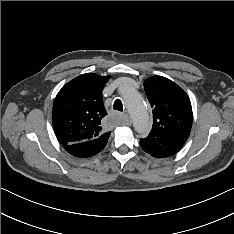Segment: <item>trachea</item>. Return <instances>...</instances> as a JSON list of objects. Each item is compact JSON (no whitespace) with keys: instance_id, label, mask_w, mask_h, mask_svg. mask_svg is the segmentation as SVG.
<instances>
[{"instance_id":"3493384b","label":"trachea","mask_w":234,"mask_h":234,"mask_svg":"<svg viewBox=\"0 0 234 234\" xmlns=\"http://www.w3.org/2000/svg\"><path fill=\"white\" fill-rule=\"evenodd\" d=\"M113 109L118 110V111H123V105L119 99L115 100L114 105H113Z\"/></svg>"}]
</instances>
